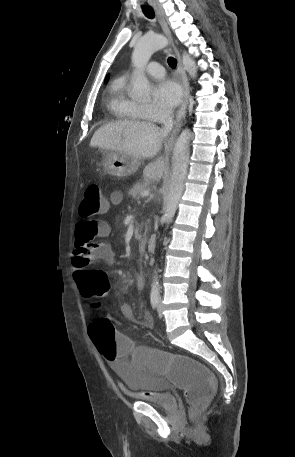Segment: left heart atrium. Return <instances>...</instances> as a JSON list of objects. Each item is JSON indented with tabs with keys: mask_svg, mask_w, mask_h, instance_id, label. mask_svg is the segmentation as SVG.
<instances>
[{
	"mask_svg": "<svg viewBox=\"0 0 295 457\" xmlns=\"http://www.w3.org/2000/svg\"><path fill=\"white\" fill-rule=\"evenodd\" d=\"M154 97L159 105L171 109L180 102L182 91L176 81L164 79L155 86Z\"/></svg>",
	"mask_w": 295,
	"mask_h": 457,
	"instance_id": "obj_1",
	"label": "left heart atrium"
}]
</instances>
